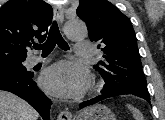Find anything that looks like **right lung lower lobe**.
I'll list each match as a JSON object with an SVG mask.
<instances>
[{
  "instance_id": "98d812e1",
  "label": "right lung lower lobe",
  "mask_w": 165,
  "mask_h": 120,
  "mask_svg": "<svg viewBox=\"0 0 165 120\" xmlns=\"http://www.w3.org/2000/svg\"><path fill=\"white\" fill-rule=\"evenodd\" d=\"M32 76L0 74V90L16 94L34 107L44 120H50L51 100L37 87Z\"/></svg>"
}]
</instances>
